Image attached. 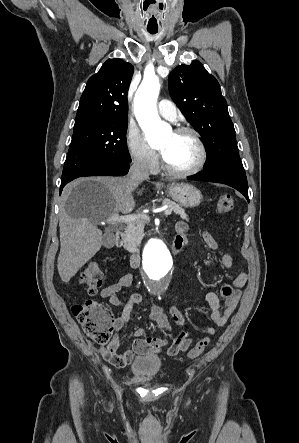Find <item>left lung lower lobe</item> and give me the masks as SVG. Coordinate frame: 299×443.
<instances>
[{
  "label": "left lung lower lobe",
  "instance_id": "obj_1",
  "mask_svg": "<svg viewBox=\"0 0 299 443\" xmlns=\"http://www.w3.org/2000/svg\"><path fill=\"white\" fill-rule=\"evenodd\" d=\"M188 179L227 184L242 193L249 202L247 178L244 169L241 167L219 166L204 169L196 175L188 177Z\"/></svg>",
  "mask_w": 299,
  "mask_h": 443
}]
</instances>
